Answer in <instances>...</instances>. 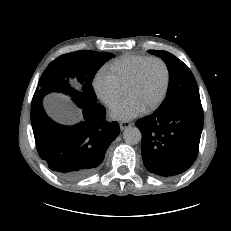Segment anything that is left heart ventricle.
Here are the masks:
<instances>
[{
    "mask_svg": "<svg viewBox=\"0 0 231 231\" xmlns=\"http://www.w3.org/2000/svg\"><path fill=\"white\" fill-rule=\"evenodd\" d=\"M165 82V71L159 62L149 63L138 83L126 91V96L136 99L145 108L160 96Z\"/></svg>",
    "mask_w": 231,
    "mask_h": 231,
    "instance_id": "obj_1",
    "label": "left heart ventricle"
}]
</instances>
